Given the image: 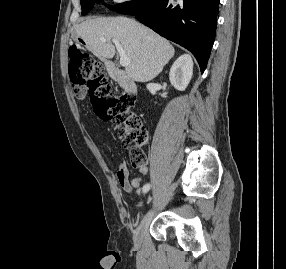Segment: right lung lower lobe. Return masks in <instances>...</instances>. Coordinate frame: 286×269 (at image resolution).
<instances>
[{"instance_id": "98d812e1", "label": "right lung lower lobe", "mask_w": 286, "mask_h": 269, "mask_svg": "<svg viewBox=\"0 0 286 269\" xmlns=\"http://www.w3.org/2000/svg\"><path fill=\"white\" fill-rule=\"evenodd\" d=\"M218 6L219 0H158L135 16L161 36L191 51L203 72L215 39Z\"/></svg>"}]
</instances>
